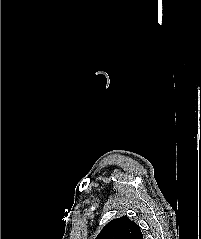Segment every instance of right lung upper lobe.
I'll list each match as a JSON object with an SVG mask.
<instances>
[{
	"label": "right lung upper lobe",
	"instance_id": "right-lung-upper-lobe-1",
	"mask_svg": "<svg viewBox=\"0 0 201 239\" xmlns=\"http://www.w3.org/2000/svg\"><path fill=\"white\" fill-rule=\"evenodd\" d=\"M95 239H143V237L139 226L123 216L110 221Z\"/></svg>",
	"mask_w": 201,
	"mask_h": 239
}]
</instances>
